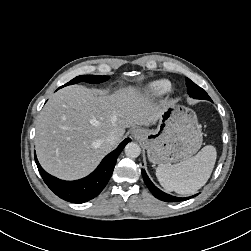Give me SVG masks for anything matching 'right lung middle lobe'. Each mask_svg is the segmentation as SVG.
Wrapping results in <instances>:
<instances>
[{"mask_svg": "<svg viewBox=\"0 0 251 251\" xmlns=\"http://www.w3.org/2000/svg\"><path fill=\"white\" fill-rule=\"evenodd\" d=\"M108 79H109L108 76L81 75V76L75 77L70 82H68L67 84L63 85L62 87L67 86V85L76 84V83H79V82H87V83L98 84V83L104 82V81H106Z\"/></svg>", "mask_w": 251, "mask_h": 251, "instance_id": "1", "label": "right lung middle lobe"}]
</instances>
